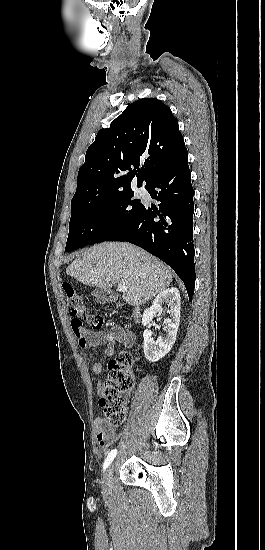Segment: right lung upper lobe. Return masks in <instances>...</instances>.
<instances>
[{
	"label": "right lung upper lobe",
	"mask_w": 265,
	"mask_h": 550,
	"mask_svg": "<svg viewBox=\"0 0 265 550\" xmlns=\"http://www.w3.org/2000/svg\"><path fill=\"white\" fill-rule=\"evenodd\" d=\"M178 121L155 98L130 104L107 129H101L86 152L73 198L91 199L131 190L137 180L146 187L184 149ZM142 164L140 173L135 168ZM135 174L137 176L135 177Z\"/></svg>",
	"instance_id": "cb5924a9"
}]
</instances>
